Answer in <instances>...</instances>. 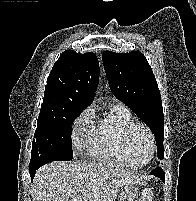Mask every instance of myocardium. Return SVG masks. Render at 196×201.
I'll list each match as a JSON object with an SVG mask.
<instances>
[{
	"label": "myocardium",
	"instance_id": "myocardium-1",
	"mask_svg": "<svg viewBox=\"0 0 196 201\" xmlns=\"http://www.w3.org/2000/svg\"><path fill=\"white\" fill-rule=\"evenodd\" d=\"M136 129H142L147 134V136L149 138V142H150L149 158L147 159V161L145 163H143L141 165H136L132 162L131 152H130V139H131L133 132ZM123 149H124L126 160L130 166L136 167V168H141V167L147 166L152 161V159L155 155V152H156L155 137H154L152 130L149 128V126H147L145 123H142V122H133V123L129 124L126 127V129L124 130V134H123Z\"/></svg>",
	"mask_w": 196,
	"mask_h": 201
}]
</instances>
